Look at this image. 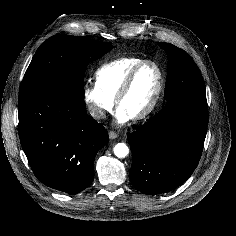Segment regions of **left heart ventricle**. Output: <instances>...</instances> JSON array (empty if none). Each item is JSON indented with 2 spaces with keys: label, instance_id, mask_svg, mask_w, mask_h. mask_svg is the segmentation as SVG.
<instances>
[{
  "label": "left heart ventricle",
  "instance_id": "b2bd125f",
  "mask_svg": "<svg viewBox=\"0 0 236 236\" xmlns=\"http://www.w3.org/2000/svg\"><path fill=\"white\" fill-rule=\"evenodd\" d=\"M157 69L149 64L136 75L133 84L119 104V108L130 117L143 112L151 103L158 86Z\"/></svg>",
  "mask_w": 236,
  "mask_h": 236
}]
</instances>
